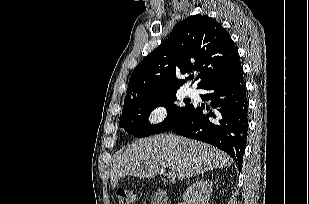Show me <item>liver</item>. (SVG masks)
Here are the masks:
<instances>
[{
	"label": "liver",
	"mask_w": 309,
	"mask_h": 204,
	"mask_svg": "<svg viewBox=\"0 0 309 204\" xmlns=\"http://www.w3.org/2000/svg\"><path fill=\"white\" fill-rule=\"evenodd\" d=\"M165 165L180 179L216 168L229 167L232 159L217 148L200 141L174 135H155L139 139L125 149L111 170L114 189L120 178H152Z\"/></svg>",
	"instance_id": "liver-1"
}]
</instances>
